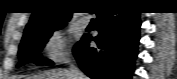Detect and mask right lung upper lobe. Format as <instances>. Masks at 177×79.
I'll list each match as a JSON object with an SVG mask.
<instances>
[{
  "mask_svg": "<svg viewBox=\"0 0 177 79\" xmlns=\"http://www.w3.org/2000/svg\"><path fill=\"white\" fill-rule=\"evenodd\" d=\"M59 7L53 3L43 1L39 3L27 24L23 38H26L40 30L63 26L70 20L72 12L60 10L52 12V9Z\"/></svg>",
  "mask_w": 177,
  "mask_h": 79,
  "instance_id": "1",
  "label": "right lung upper lobe"
}]
</instances>
